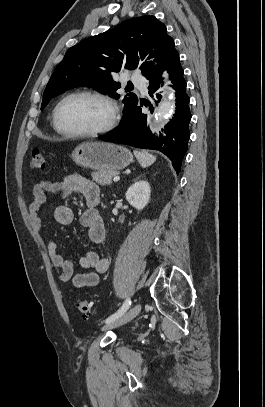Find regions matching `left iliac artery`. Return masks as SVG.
I'll use <instances>...</instances> for the list:
<instances>
[{
	"mask_svg": "<svg viewBox=\"0 0 265 407\" xmlns=\"http://www.w3.org/2000/svg\"><path fill=\"white\" fill-rule=\"evenodd\" d=\"M130 305H131V299H130V298H127V299L125 300L124 304L122 305V307H121L117 312H115L114 314H112L111 316H109V317L105 320V322H106V323L112 322V321H114L115 319H117L118 317H120L121 315H123V314L129 309Z\"/></svg>",
	"mask_w": 265,
	"mask_h": 407,
	"instance_id": "44dca946",
	"label": "left iliac artery"
}]
</instances>
